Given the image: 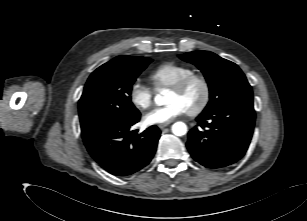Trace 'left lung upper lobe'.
Segmentation results:
<instances>
[{
	"label": "left lung upper lobe",
	"instance_id": "1",
	"mask_svg": "<svg viewBox=\"0 0 307 221\" xmlns=\"http://www.w3.org/2000/svg\"><path fill=\"white\" fill-rule=\"evenodd\" d=\"M180 58L197 66L206 78L210 101L203 112L235 103H253L252 88L235 63L209 51L188 52Z\"/></svg>",
	"mask_w": 307,
	"mask_h": 221
}]
</instances>
